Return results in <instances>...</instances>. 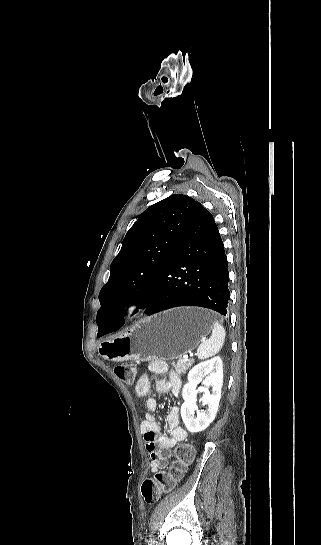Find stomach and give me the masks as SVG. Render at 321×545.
Returning a JSON list of instances; mask_svg holds the SVG:
<instances>
[{
    "mask_svg": "<svg viewBox=\"0 0 321 545\" xmlns=\"http://www.w3.org/2000/svg\"><path fill=\"white\" fill-rule=\"evenodd\" d=\"M212 319V311L201 307L156 313L141 319L120 337L107 341L104 355L111 361L178 359L198 347L211 331Z\"/></svg>",
    "mask_w": 321,
    "mask_h": 545,
    "instance_id": "stomach-1",
    "label": "stomach"
}]
</instances>
